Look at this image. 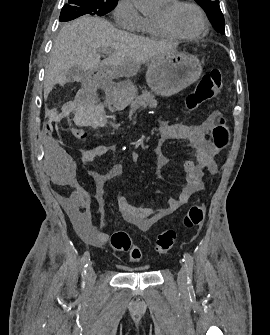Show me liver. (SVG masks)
<instances>
[{"label":"liver","instance_id":"1","mask_svg":"<svg viewBox=\"0 0 270 335\" xmlns=\"http://www.w3.org/2000/svg\"><path fill=\"white\" fill-rule=\"evenodd\" d=\"M177 44L156 42L130 32L117 30L111 22L98 16H82L61 28L51 50L49 66L44 78V100H47L56 84L64 86L69 82L67 72L79 66L83 72H101L110 78H131L136 76L141 64L159 54L175 52ZM99 50H113L104 60L112 62L104 66ZM130 84L129 80H127Z\"/></svg>","mask_w":270,"mask_h":335}]
</instances>
